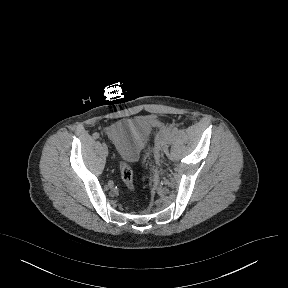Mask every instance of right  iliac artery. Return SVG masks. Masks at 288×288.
<instances>
[{
  "label": "right iliac artery",
  "mask_w": 288,
  "mask_h": 288,
  "mask_svg": "<svg viewBox=\"0 0 288 288\" xmlns=\"http://www.w3.org/2000/svg\"><path fill=\"white\" fill-rule=\"evenodd\" d=\"M93 138H94V139H98V138H99V133H94V134H93Z\"/></svg>",
  "instance_id": "right-iliac-artery-1"
}]
</instances>
